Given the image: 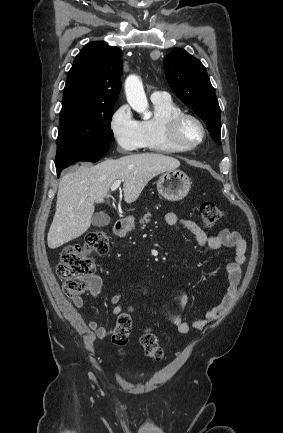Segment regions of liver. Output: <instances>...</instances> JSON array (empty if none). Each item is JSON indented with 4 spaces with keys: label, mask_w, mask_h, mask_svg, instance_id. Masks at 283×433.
I'll list each match as a JSON object with an SVG mask.
<instances>
[{
    "label": "liver",
    "mask_w": 283,
    "mask_h": 433,
    "mask_svg": "<svg viewBox=\"0 0 283 433\" xmlns=\"http://www.w3.org/2000/svg\"><path fill=\"white\" fill-rule=\"evenodd\" d=\"M178 166L177 158L159 152L128 154L117 160H103L95 166L82 162L75 172H67L60 178L48 247L58 249L81 237L91 225L95 202H104L117 178L123 182L125 202H134L151 178Z\"/></svg>",
    "instance_id": "liver-1"
}]
</instances>
